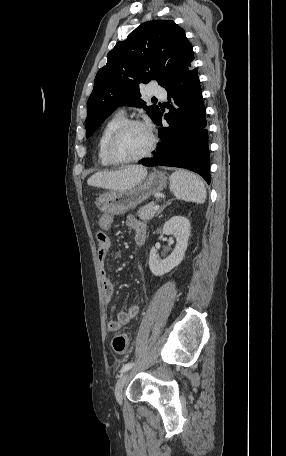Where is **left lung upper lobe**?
<instances>
[{"label":"left lung upper lobe","instance_id":"1","mask_svg":"<svg viewBox=\"0 0 286 456\" xmlns=\"http://www.w3.org/2000/svg\"><path fill=\"white\" fill-rule=\"evenodd\" d=\"M87 102L86 137H90L119 104L142 107L155 121L160 109L140 99V84L156 80L162 87L193 60L185 31L172 20L145 22L107 55Z\"/></svg>","mask_w":286,"mask_h":456}]
</instances>
